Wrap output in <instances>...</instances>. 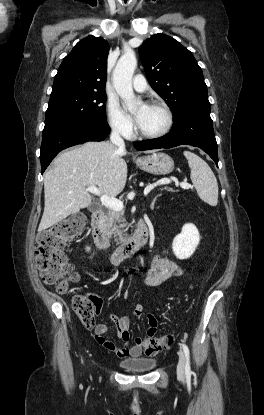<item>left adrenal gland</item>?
Wrapping results in <instances>:
<instances>
[{"instance_id":"obj_1","label":"left adrenal gland","mask_w":264,"mask_h":415,"mask_svg":"<svg viewBox=\"0 0 264 415\" xmlns=\"http://www.w3.org/2000/svg\"><path fill=\"white\" fill-rule=\"evenodd\" d=\"M160 196V194L159 195H157V196H155L154 198H153V200H152V203H151V205H150V208L153 210L154 209V204H155V202H156V200H157V198Z\"/></svg>"}]
</instances>
